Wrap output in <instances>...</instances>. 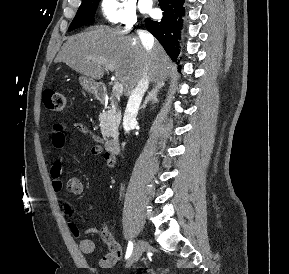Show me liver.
<instances>
[{
    "mask_svg": "<svg viewBox=\"0 0 289 274\" xmlns=\"http://www.w3.org/2000/svg\"><path fill=\"white\" fill-rule=\"evenodd\" d=\"M55 62H64L76 72L100 80L107 64L115 67V76L130 96L144 73L149 81L164 84L170 72L171 60L158 42L148 52L140 39L120 30H87L68 37Z\"/></svg>",
    "mask_w": 289,
    "mask_h": 274,
    "instance_id": "obj_1",
    "label": "liver"
}]
</instances>
